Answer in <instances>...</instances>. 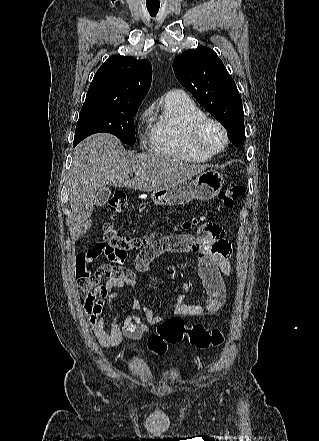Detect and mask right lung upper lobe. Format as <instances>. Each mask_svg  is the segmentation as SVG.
I'll return each instance as SVG.
<instances>
[{
    "mask_svg": "<svg viewBox=\"0 0 319 441\" xmlns=\"http://www.w3.org/2000/svg\"><path fill=\"white\" fill-rule=\"evenodd\" d=\"M151 78L152 66L148 60L111 56L94 75L85 103L140 105L148 93Z\"/></svg>",
    "mask_w": 319,
    "mask_h": 441,
    "instance_id": "1",
    "label": "right lung upper lobe"
}]
</instances>
